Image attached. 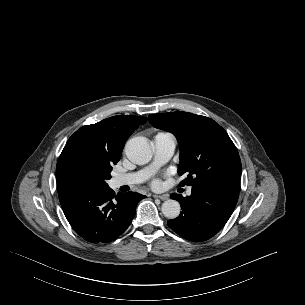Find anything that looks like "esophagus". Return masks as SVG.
<instances>
[{"mask_svg": "<svg viewBox=\"0 0 305 305\" xmlns=\"http://www.w3.org/2000/svg\"><path fill=\"white\" fill-rule=\"evenodd\" d=\"M154 198L160 199L162 201L168 199V195H153Z\"/></svg>", "mask_w": 305, "mask_h": 305, "instance_id": "1", "label": "esophagus"}]
</instances>
